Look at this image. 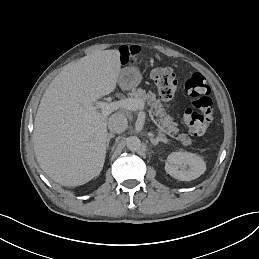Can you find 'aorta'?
<instances>
[{"label":"aorta","mask_w":259,"mask_h":259,"mask_svg":"<svg viewBox=\"0 0 259 259\" xmlns=\"http://www.w3.org/2000/svg\"><path fill=\"white\" fill-rule=\"evenodd\" d=\"M127 148L130 151L136 152L141 149L142 143L141 140L137 136H130L126 140Z\"/></svg>","instance_id":"obj_1"}]
</instances>
